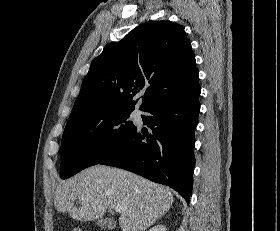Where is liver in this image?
<instances>
[{
  "label": "liver",
  "mask_w": 280,
  "mask_h": 231,
  "mask_svg": "<svg viewBox=\"0 0 280 231\" xmlns=\"http://www.w3.org/2000/svg\"><path fill=\"white\" fill-rule=\"evenodd\" d=\"M173 201L170 187L107 165H92L62 181L54 197L57 211H69L79 221L100 219L120 205L125 209L119 217L122 231H145L167 213Z\"/></svg>",
  "instance_id": "liver-1"
}]
</instances>
